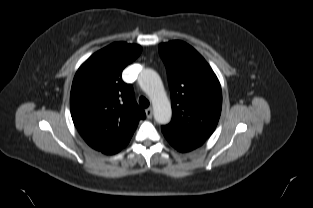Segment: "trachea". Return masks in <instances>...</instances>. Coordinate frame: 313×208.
I'll return each instance as SVG.
<instances>
[{
    "instance_id": "1",
    "label": "trachea",
    "mask_w": 313,
    "mask_h": 208,
    "mask_svg": "<svg viewBox=\"0 0 313 208\" xmlns=\"http://www.w3.org/2000/svg\"><path fill=\"white\" fill-rule=\"evenodd\" d=\"M139 104L142 108H147L149 106V101L145 97L141 96L139 98Z\"/></svg>"
}]
</instances>
